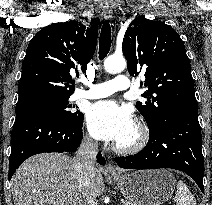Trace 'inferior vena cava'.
I'll list each match as a JSON object with an SVG mask.
<instances>
[{
	"label": "inferior vena cava",
	"instance_id": "obj_1",
	"mask_svg": "<svg viewBox=\"0 0 212 205\" xmlns=\"http://www.w3.org/2000/svg\"><path fill=\"white\" fill-rule=\"evenodd\" d=\"M98 152V144L89 137L83 139L77 152L75 168L77 170V182L82 192L80 205H97L96 198L92 194L94 184V164Z\"/></svg>",
	"mask_w": 212,
	"mask_h": 205
}]
</instances>
